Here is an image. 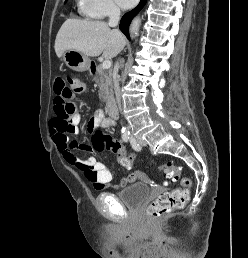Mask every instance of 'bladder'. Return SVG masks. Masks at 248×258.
<instances>
[{
  "mask_svg": "<svg viewBox=\"0 0 248 258\" xmlns=\"http://www.w3.org/2000/svg\"><path fill=\"white\" fill-rule=\"evenodd\" d=\"M149 187L144 183H133L127 186L115 196L130 209H137L143 200L149 195Z\"/></svg>",
  "mask_w": 248,
  "mask_h": 258,
  "instance_id": "bladder-1",
  "label": "bladder"
}]
</instances>
